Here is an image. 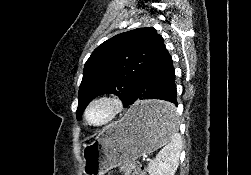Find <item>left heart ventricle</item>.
<instances>
[{
    "label": "left heart ventricle",
    "instance_id": "obj_1",
    "mask_svg": "<svg viewBox=\"0 0 251 175\" xmlns=\"http://www.w3.org/2000/svg\"><path fill=\"white\" fill-rule=\"evenodd\" d=\"M115 113V107L108 102H97L92 105L89 112L90 122L94 125H102L108 122Z\"/></svg>",
    "mask_w": 251,
    "mask_h": 175
}]
</instances>
